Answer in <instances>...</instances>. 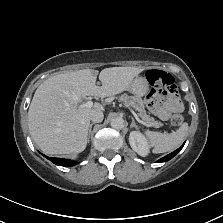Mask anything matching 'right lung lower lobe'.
I'll return each instance as SVG.
<instances>
[{
	"label": "right lung lower lobe",
	"instance_id": "obj_1",
	"mask_svg": "<svg viewBox=\"0 0 223 223\" xmlns=\"http://www.w3.org/2000/svg\"><path fill=\"white\" fill-rule=\"evenodd\" d=\"M47 159H49L51 162H53L56 165L64 166V167H71L77 164V162H69L66 159L63 158H52V157H47L43 155Z\"/></svg>",
	"mask_w": 223,
	"mask_h": 223
}]
</instances>
